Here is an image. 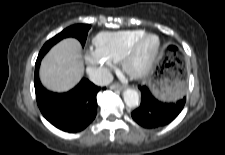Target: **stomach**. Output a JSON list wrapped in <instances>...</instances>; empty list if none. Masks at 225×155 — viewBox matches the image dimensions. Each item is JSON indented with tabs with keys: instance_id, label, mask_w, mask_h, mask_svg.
Listing matches in <instances>:
<instances>
[{
	"instance_id": "0dacf381",
	"label": "stomach",
	"mask_w": 225,
	"mask_h": 155,
	"mask_svg": "<svg viewBox=\"0 0 225 155\" xmlns=\"http://www.w3.org/2000/svg\"><path fill=\"white\" fill-rule=\"evenodd\" d=\"M153 94L162 101H176L184 94V80L179 71L158 65L147 79Z\"/></svg>"
}]
</instances>
